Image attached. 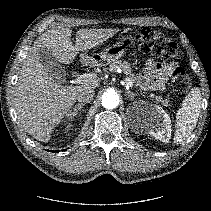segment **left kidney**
Here are the masks:
<instances>
[{
  "label": "left kidney",
  "mask_w": 211,
  "mask_h": 211,
  "mask_svg": "<svg viewBox=\"0 0 211 211\" xmlns=\"http://www.w3.org/2000/svg\"><path fill=\"white\" fill-rule=\"evenodd\" d=\"M150 123H147L149 134L155 139L168 143L171 138V120L160 106H153Z\"/></svg>",
  "instance_id": "1"
}]
</instances>
